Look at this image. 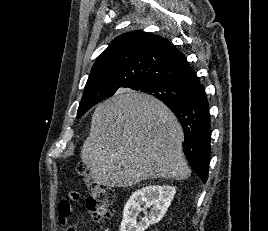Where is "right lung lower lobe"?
Listing matches in <instances>:
<instances>
[{
	"instance_id": "obj_1",
	"label": "right lung lower lobe",
	"mask_w": 268,
	"mask_h": 231,
	"mask_svg": "<svg viewBox=\"0 0 268 231\" xmlns=\"http://www.w3.org/2000/svg\"><path fill=\"white\" fill-rule=\"evenodd\" d=\"M163 102L173 111L183 127V150L190 166L206 183L211 145L209 103L203 85L198 83L184 100Z\"/></svg>"
}]
</instances>
